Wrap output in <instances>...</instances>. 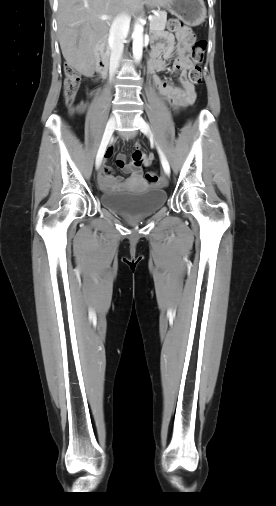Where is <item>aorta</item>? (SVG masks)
Wrapping results in <instances>:
<instances>
[{"label": "aorta", "instance_id": "762f6f07", "mask_svg": "<svg viewBox=\"0 0 276 506\" xmlns=\"http://www.w3.org/2000/svg\"><path fill=\"white\" fill-rule=\"evenodd\" d=\"M143 25L141 23V19L135 24L132 38H133V44H132V50H133V57L136 62H140L142 59L143 54Z\"/></svg>", "mask_w": 276, "mask_h": 506}]
</instances>
